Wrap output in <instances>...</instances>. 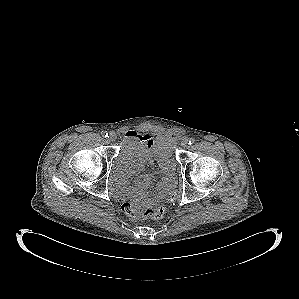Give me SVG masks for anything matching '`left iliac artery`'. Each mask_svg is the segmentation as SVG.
<instances>
[{"label": "left iliac artery", "instance_id": "obj_1", "mask_svg": "<svg viewBox=\"0 0 299 299\" xmlns=\"http://www.w3.org/2000/svg\"><path fill=\"white\" fill-rule=\"evenodd\" d=\"M194 142H195V139H194V138H190V139H189V145L194 144Z\"/></svg>", "mask_w": 299, "mask_h": 299}]
</instances>
